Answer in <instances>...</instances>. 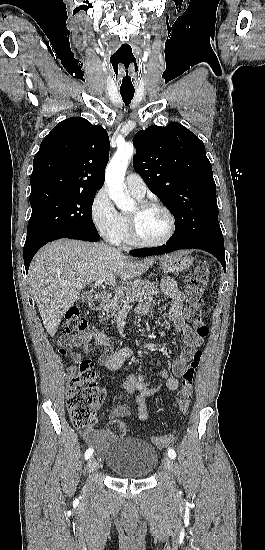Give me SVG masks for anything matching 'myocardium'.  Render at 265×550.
Returning a JSON list of instances; mask_svg holds the SVG:
<instances>
[{"label": "myocardium", "instance_id": "f54148a6", "mask_svg": "<svg viewBox=\"0 0 265 550\" xmlns=\"http://www.w3.org/2000/svg\"><path fill=\"white\" fill-rule=\"evenodd\" d=\"M137 210L138 212H142L151 208H156L165 213L169 220V229L165 237L159 241H145L140 238L137 230V221H136V215L134 214H128V228H129V236L131 243L134 246L142 247V248H154V247H160L168 243L176 230V219L174 214L171 212V210L166 207L165 205L157 202V201H149V200H143L139 201L137 203Z\"/></svg>", "mask_w": 265, "mask_h": 550}]
</instances>
